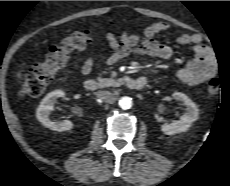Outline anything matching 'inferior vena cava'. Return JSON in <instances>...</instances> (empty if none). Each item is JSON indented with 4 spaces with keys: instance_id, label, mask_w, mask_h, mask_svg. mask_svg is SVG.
I'll return each mask as SVG.
<instances>
[{
    "instance_id": "1",
    "label": "inferior vena cava",
    "mask_w": 230,
    "mask_h": 186,
    "mask_svg": "<svg viewBox=\"0 0 230 186\" xmlns=\"http://www.w3.org/2000/svg\"><path fill=\"white\" fill-rule=\"evenodd\" d=\"M96 95L100 100L104 102H109L112 99V93L109 91H99Z\"/></svg>"
}]
</instances>
